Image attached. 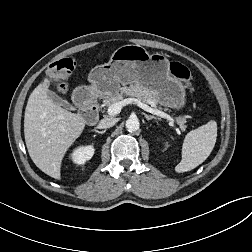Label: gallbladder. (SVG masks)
<instances>
[{
	"label": "gallbladder",
	"instance_id": "1",
	"mask_svg": "<svg viewBox=\"0 0 252 252\" xmlns=\"http://www.w3.org/2000/svg\"><path fill=\"white\" fill-rule=\"evenodd\" d=\"M49 98L57 105L62 106L66 109H72V106L70 103H68L66 100H63L61 97H59L57 94H55L52 91L48 92Z\"/></svg>",
	"mask_w": 252,
	"mask_h": 252
}]
</instances>
